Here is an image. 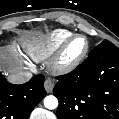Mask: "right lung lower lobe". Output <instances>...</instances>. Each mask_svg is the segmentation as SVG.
Instances as JSON below:
<instances>
[{
	"label": "right lung lower lobe",
	"mask_w": 119,
	"mask_h": 119,
	"mask_svg": "<svg viewBox=\"0 0 119 119\" xmlns=\"http://www.w3.org/2000/svg\"><path fill=\"white\" fill-rule=\"evenodd\" d=\"M44 80L43 75H36L25 84L13 85L0 73V119H29L46 96Z\"/></svg>",
	"instance_id": "98d812e1"
}]
</instances>
